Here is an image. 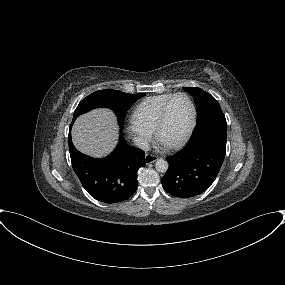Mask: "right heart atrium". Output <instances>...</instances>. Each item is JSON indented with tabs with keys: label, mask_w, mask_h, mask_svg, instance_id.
Wrapping results in <instances>:
<instances>
[{
	"label": "right heart atrium",
	"mask_w": 285,
	"mask_h": 285,
	"mask_svg": "<svg viewBox=\"0 0 285 285\" xmlns=\"http://www.w3.org/2000/svg\"><path fill=\"white\" fill-rule=\"evenodd\" d=\"M127 128L135 143L141 148L146 147L152 138L153 131L143 126L133 118L128 121Z\"/></svg>",
	"instance_id": "right-heart-atrium-1"
}]
</instances>
